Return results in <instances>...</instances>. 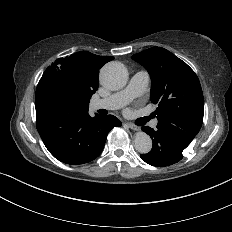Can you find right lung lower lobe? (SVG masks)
<instances>
[{
	"instance_id": "obj_1",
	"label": "right lung lower lobe",
	"mask_w": 232,
	"mask_h": 232,
	"mask_svg": "<svg viewBox=\"0 0 232 232\" xmlns=\"http://www.w3.org/2000/svg\"><path fill=\"white\" fill-rule=\"evenodd\" d=\"M36 106L37 130L48 151L59 161L80 165L102 152L106 137L121 122L113 115L91 117L88 110L42 101Z\"/></svg>"
}]
</instances>
